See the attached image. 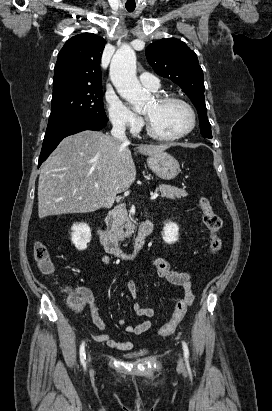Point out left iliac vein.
Masks as SVG:
<instances>
[{"label":"left iliac vein","instance_id":"left-iliac-vein-1","mask_svg":"<svg viewBox=\"0 0 272 411\" xmlns=\"http://www.w3.org/2000/svg\"><path fill=\"white\" fill-rule=\"evenodd\" d=\"M178 364H179L180 366L183 364L181 359L178 360Z\"/></svg>","mask_w":272,"mask_h":411}]
</instances>
